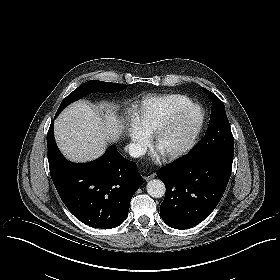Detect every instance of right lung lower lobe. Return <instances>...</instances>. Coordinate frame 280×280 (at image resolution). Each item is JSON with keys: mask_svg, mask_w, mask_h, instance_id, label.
Wrapping results in <instances>:
<instances>
[{"mask_svg": "<svg viewBox=\"0 0 280 280\" xmlns=\"http://www.w3.org/2000/svg\"><path fill=\"white\" fill-rule=\"evenodd\" d=\"M47 145L51 178L68 210L91 227L110 229L120 225L143 181L137 165L123 158L115 146L93 162H69L56 145L53 121Z\"/></svg>", "mask_w": 280, "mask_h": 280, "instance_id": "98d812e1", "label": "right lung lower lobe"}]
</instances>
